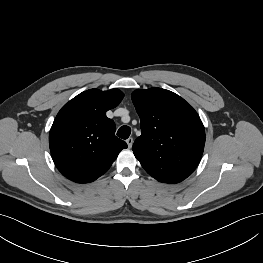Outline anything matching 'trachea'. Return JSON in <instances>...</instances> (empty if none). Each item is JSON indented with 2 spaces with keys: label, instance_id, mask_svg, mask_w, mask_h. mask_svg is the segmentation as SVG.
Listing matches in <instances>:
<instances>
[{
  "label": "trachea",
  "instance_id": "1",
  "mask_svg": "<svg viewBox=\"0 0 263 263\" xmlns=\"http://www.w3.org/2000/svg\"><path fill=\"white\" fill-rule=\"evenodd\" d=\"M131 134V128L128 126H122L117 131V136L121 139H127Z\"/></svg>",
  "mask_w": 263,
  "mask_h": 263
}]
</instances>
